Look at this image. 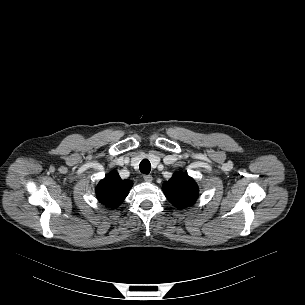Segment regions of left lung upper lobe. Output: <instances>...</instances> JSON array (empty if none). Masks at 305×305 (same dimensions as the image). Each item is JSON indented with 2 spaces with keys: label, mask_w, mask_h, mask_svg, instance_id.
Instances as JSON below:
<instances>
[{
  "label": "left lung upper lobe",
  "mask_w": 305,
  "mask_h": 305,
  "mask_svg": "<svg viewBox=\"0 0 305 305\" xmlns=\"http://www.w3.org/2000/svg\"><path fill=\"white\" fill-rule=\"evenodd\" d=\"M163 191L167 199L181 209L193 205L199 194L195 181L183 172L175 173L169 181L165 182Z\"/></svg>",
  "instance_id": "1"
}]
</instances>
